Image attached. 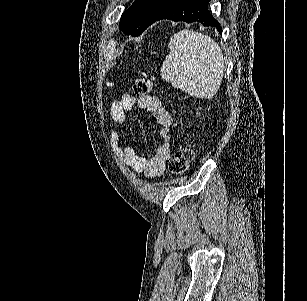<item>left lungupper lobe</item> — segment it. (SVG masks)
<instances>
[{
    "instance_id": "5c2ea615",
    "label": "left lung upper lobe",
    "mask_w": 307,
    "mask_h": 301,
    "mask_svg": "<svg viewBox=\"0 0 307 301\" xmlns=\"http://www.w3.org/2000/svg\"><path fill=\"white\" fill-rule=\"evenodd\" d=\"M179 0H136L126 10L119 23V28L126 35L139 36L168 8Z\"/></svg>"
}]
</instances>
